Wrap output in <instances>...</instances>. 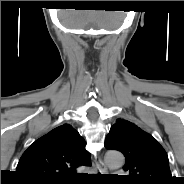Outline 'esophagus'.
Wrapping results in <instances>:
<instances>
[{
	"label": "esophagus",
	"instance_id": "esophagus-1",
	"mask_svg": "<svg viewBox=\"0 0 184 184\" xmlns=\"http://www.w3.org/2000/svg\"><path fill=\"white\" fill-rule=\"evenodd\" d=\"M96 165H97V169L99 170V172L101 173L107 172V167L101 159L98 160Z\"/></svg>",
	"mask_w": 184,
	"mask_h": 184
}]
</instances>
